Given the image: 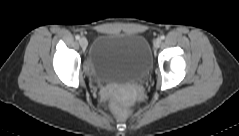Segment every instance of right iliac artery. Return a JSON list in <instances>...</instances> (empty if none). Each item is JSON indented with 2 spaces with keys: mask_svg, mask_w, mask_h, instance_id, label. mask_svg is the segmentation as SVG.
<instances>
[{
  "mask_svg": "<svg viewBox=\"0 0 239 136\" xmlns=\"http://www.w3.org/2000/svg\"><path fill=\"white\" fill-rule=\"evenodd\" d=\"M75 38H76L77 40H79V39H80V36H79V35H76Z\"/></svg>",
  "mask_w": 239,
  "mask_h": 136,
  "instance_id": "obj_1",
  "label": "right iliac artery"
}]
</instances>
